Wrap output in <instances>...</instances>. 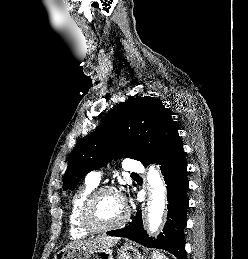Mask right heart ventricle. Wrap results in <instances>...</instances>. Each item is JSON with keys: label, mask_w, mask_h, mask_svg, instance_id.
<instances>
[{"label": "right heart ventricle", "mask_w": 248, "mask_h": 259, "mask_svg": "<svg viewBox=\"0 0 248 259\" xmlns=\"http://www.w3.org/2000/svg\"><path fill=\"white\" fill-rule=\"evenodd\" d=\"M97 185L85 181L72 195L68 212V228L73 238H82L90 232L87 231L80 223L79 212L83 201L96 188Z\"/></svg>", "instance_id": "e07e8e85"}]
</instances>
